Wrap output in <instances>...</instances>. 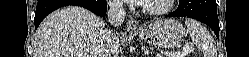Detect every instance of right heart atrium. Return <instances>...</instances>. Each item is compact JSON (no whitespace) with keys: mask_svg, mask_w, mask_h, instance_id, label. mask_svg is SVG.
I'll return each instance as SVG.
<instances>
[{"mask_svg":"<svg viewBox=\"0 0 249 57\" xmlns=\"http://www.w3.org/2000/svg\"><path fill=\"white\" fill-rule=\"evenodd\" d=\"M114 5H118L117 3H113Z\"/></svg>","mask_w":249,"mask_h":57,"instance_id":"right-heart-atrium-1","label":"right heart atrium"}]
</instances>
